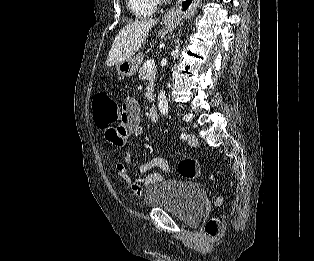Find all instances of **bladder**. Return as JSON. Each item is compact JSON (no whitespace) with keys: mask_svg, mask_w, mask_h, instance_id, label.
<instances>
[{"mask_svg":"<svg viewBox=\"0 0 314 261\" xmlns=\"http://www.w3.org/2000/svg\"><path fill=\"white\" fill-rule=\"evenodd\" d=\"M205 203L206 194L200 184L179 180L159 182L145 197L147 207L166 210L188 224L201 219Z\"/></svg>","mask_w":314,"mask_h":261,"instance_id":"obj_1","label":"bladder"}]
</instances>
